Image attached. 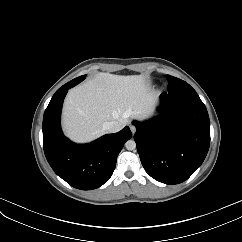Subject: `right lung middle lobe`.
<instances>
[{"instance_id":"right-lung-middle-lobe-1","label":"right lung middle lobe","mask_w":242,"mask_h":242,"mask_svg":"<svg viewBox=\"0 0 242 242\" xmlns=\"http://www.w3.org/2000/svg\"><path fill=\"white\" fill-rule=\"evenodd\" d=\"M84 78H85V75L80 76V77H78V78H75V79L71 80V81L68 82V83H71V82H74V81H77V80H79V81L81 82ZM66 84H67V83H66Z\"/></svg>"}]
</instances>
